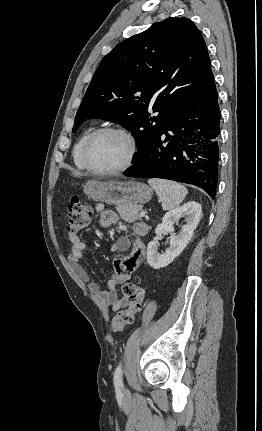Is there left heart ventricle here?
<instances>
[{
    "mask_svg": "<svg viewBox=\"0 0 262 431\" xmlns=\"http://www.w3.org/2000/svg\"><path fill=\"white\" fill-rule=\"evenodd\" d=\"M128 153L129 144L122 135L105 133L93 141L89 151V159L95 167L110 169L122 165Z\"/></svg>",
    "mask_w": 262,
    "mask_h": 431,
    "instance_id": "1",
    "label": "left heart ventricle"
}]
</instances>
